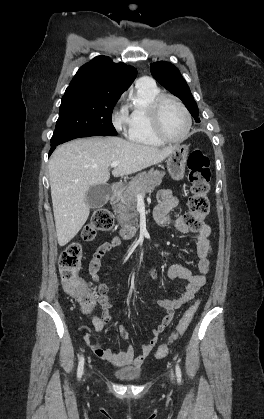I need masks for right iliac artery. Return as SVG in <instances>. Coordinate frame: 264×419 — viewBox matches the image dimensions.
Segmentation results:
<instances>
[{"label": "right iliac artery", "mask_w": 264, "mask_h": 419, "mask_svg": "<svg viewBox=\"0 0 264 419\" xmlns=\"http://www.w3.org/2000/svg\"><path fill=\"white\" fill-rule=\"evenodd\" d=\"M83 367H84V357L81 356L79 358V363H78V370H77V377L80 379L82 374H83Z\"/></svg>", "instance_id": "right-iliac-artery-1"}]
</instances>
